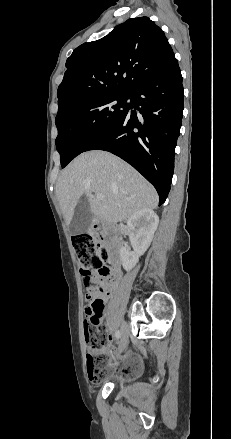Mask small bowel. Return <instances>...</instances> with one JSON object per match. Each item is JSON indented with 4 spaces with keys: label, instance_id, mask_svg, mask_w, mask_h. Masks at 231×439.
Returning <instances> with one entry per match:
<instances>
[{
    "label": "small bowel",
    "instance_id": "1",
    "mask_svg": "<svg viewBox=\"0 0 231 439\" xmlns=\"http://www.w3.org/2000/svg\"><path fill=\"white\" fill-rule=\"evenodd\" d=\"M113 273H114V276H118L119 275V270H118L117 267L114 268ZM92 281L97 283L98 282L97 277L93 276L92 277ZM96 299L100 300L103 303V305H104L105 301L107 299V296L105 294V290L93 289V290H89L87 292V294H86V301L88 303H91L92 301H94ZM85 315H86L87 319L84 321V327L94 317H97L98 323L102 325V319H103V316H104V309H103V311H102V313L100 315H96L93 312L91 306H87L86 309H85ZM108 350H109V343L106 346H104V347H102L100 349L94 350L93 352L94 353H100V352H107Z\"/></svg>",
    "mask_w": 231,
    "mask_h": 439
}]
</instances>
